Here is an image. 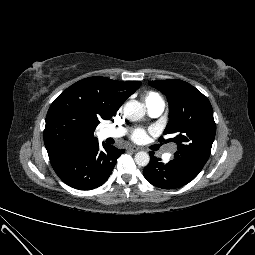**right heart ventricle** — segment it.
Instances as JSON below:
<instances>
[{"instance_id":"obj_1","label":"right heart ventricle","mask_w":255,"mask_h":255,"mask_svg":"<svg viewBox=\"0 0 255 255\" xmlns=\"http://www.w3.org/2000/svg\"><path fill=\"white\" fill-rule=\"evenodd\" d=\"M143 99L147 107H150L151 105L163 101L160 95L153 91H148L143 95Z\"/></svg>"}]
</instances>
